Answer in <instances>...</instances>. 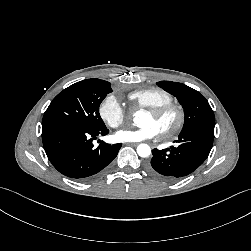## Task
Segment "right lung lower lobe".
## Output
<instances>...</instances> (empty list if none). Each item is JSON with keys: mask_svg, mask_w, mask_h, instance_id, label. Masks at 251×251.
Listing matches in <instances>:
<instances>
[{"mask_svg": "<svg viewBox=\"0 0 251 251\" xmlns=\"http://www.w3.org/2000/svg\"><path fill=\"white\" fill-rule=\"evenodd\" d=\"M108 132L106 126L93 129L55 124L42 128V141L48 159L60 173L84 181L103 170L121 148V144L105 143L94 148L92 141Z\"/></svg>", "mask_w": 251, "mask_h": 251, "instance_id": "right-lung-lower-lobe-1", "label": "right lung lower lobe"}]
</instances>
